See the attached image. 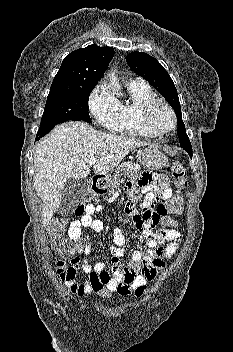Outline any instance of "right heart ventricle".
<instances>
[{
	"mask_svg": "<svg viewBox=\"0 0 233 352\" xmlns=\"http://www.w3.org/2000/svg\"><path fill=\"white\" fill-rule=\"evenodd\" d=\"M130 102L120 103V115L117 131L132 136L148 137L139 122L140 108L155 98L151 88L144 82L128 83Z\"/></svg>",
	"mask_w": 233,
	"mask_h": 352,
	"instance_id": "obj_1",
	"label": "right heart ventricle"
}]
</instances>
